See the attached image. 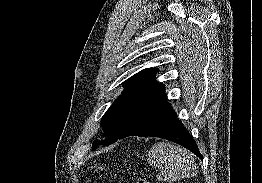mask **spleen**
<instances>
[{"label": "spleen", "mask_w": 262, "mask_h": 183, "mask_svg": "<svg viewBox=\"0 0 262 183\" xmlns=\"http://www.w3.org/2000/svg\"><path fill=\"white\" fill-rule=\"evenodd\" d=\"M148 160L151 166L160 169L158 179L169 183L191 177L196 170L191 155L168 142L155 143L149 151Z\"/></svg>", "instance_id": "spleen-1"}]
</instances>
